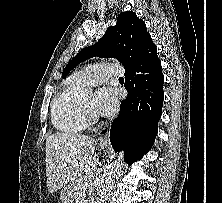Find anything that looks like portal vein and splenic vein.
Returning a JSON list of instances; mask_svg holds the SVG:
<instances>
[{
  "label": "portal vein and splenic vein",
  "instance_id": "18ae733b",
  "mask_svg": "<svg viewBox=\"0 0 222 203\" xmlns=\"http://www.w3.org/2000/svg\"><path fill=\"white\" fill-rule=\"evenodd\" d=\"M90 184H91V181H88V182L86 183V187H88Z\"/></svg>",
  "mask_w": 222,
  "mask_h": 203
}]
</instances>
